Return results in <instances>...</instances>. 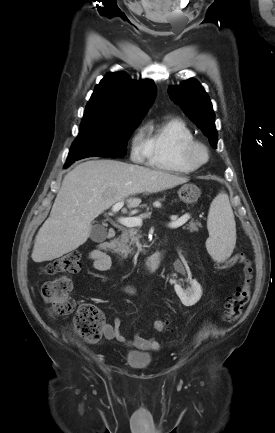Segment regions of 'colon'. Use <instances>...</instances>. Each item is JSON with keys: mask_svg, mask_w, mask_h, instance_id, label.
I'll return each mask as SVG.
<instances>
[{"mask_svg": "<svg viewBox=\"0 0 275 433\" xmlns=\"http://www.w3.org/2000/svg\"><path fill=\"white\" fill-rule=\"evenodd\" d=\"M239 263L242 265L241 282L235 292L225 304L224 319L229 323L236 322L242 315L250 300L252 266L243 253H238L232 260L223 265ZM81 255L72 251L66 253L43 268L47 275H56L42 285L41 294L45 302L50 305L54 317H67L73 313L74 328L86 343H95L102 336L104 315L92 303H82L76 307L72 296V276L81 270ZM153 328L158 332L170 330V323L166 320H156Z\"/></svg>", "mask_w": 275, "mask_h": 433, "instance_id": "colon-1", "label": "colon"}]
</instances>
